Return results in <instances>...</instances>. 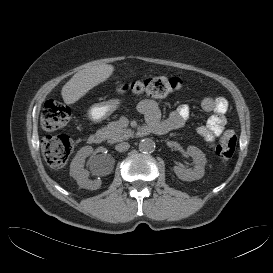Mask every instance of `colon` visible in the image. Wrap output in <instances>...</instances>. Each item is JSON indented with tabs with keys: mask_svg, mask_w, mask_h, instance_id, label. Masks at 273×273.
<instances>
[{
	"mask_svg": "<svg viewBox=\"0 0 273 273\" xmlns=\"http://www.w3.org/2000/svg\"><path fill=\"white\" fill-rule=\"evenodd\" d=\"M181 87L177 77L156 76L143 80L122 83L117 87L120 94L133 93L150 98H162L176 92ZM71 118L70 108L55 100H48L43 107L41 122L47 131L64 127ZM237 137L232 131H227L216 145V154L223 160H230L236 150ZM74 149V141L69 136H53L43 141L44 157L52 168H61L67 162Z\"/></svg>",
	"mask_w": 273,
	"mask_h": 273,
	"instance_id": "colon-1",
	"label": "colon"
}]
</instances>
